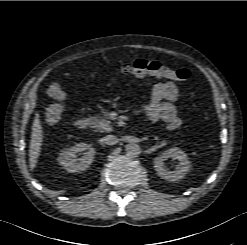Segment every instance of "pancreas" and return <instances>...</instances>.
Masks as SVG:
<instances>
[{"mask_svg":"<svg viewBox=\"0 0 247 245\" xmlns=\"http://www.w3.org/2000/svg\"><path fill=\"white\" fill-rule=\"evenodd\" d=\"M93 128L97 129L99 132H110L113 130L111 121L109 120L108 110H102L100 115L94 116L92 118Z\"/></svg>","mask_w":247,"mask_h":245,"instance_id":"pancreas-1","label":"pancreas"}]
</instances>
